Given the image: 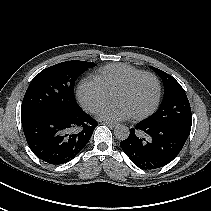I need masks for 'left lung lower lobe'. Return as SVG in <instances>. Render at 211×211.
<instances>
[{"instance_id": "left-lung-lower-lobe-1", "label": "left lung lower lobe", "mask_w": 211, "mask_h": 211, "mask_svg": "<svg viewBox=\"0 0 211 211\" xmlns=\"http://www.w3.org/2000/svg\"><path fill=\"white\" fill-rule=\"evenodd\" d=\"M145 134L146 137H141ZM189 135L164 125L139 122L120 146L141 169H157L170 163L181 151Z\"/></svg>"}]
</instances>
